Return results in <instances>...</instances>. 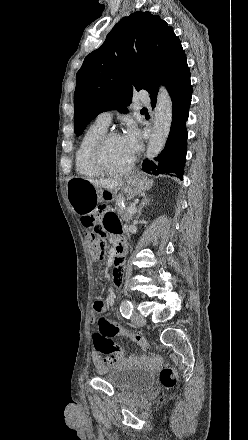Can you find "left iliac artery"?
<instances>
[{"instance_id":"44dca946","label":"left iliac artery","mask_w":248,"mask_h":440,"mask_svg":"<svg viewBox=\"0 0 248 440\" xmlns=\"http://www.w3.org/2000/svg\"><path fill=\"white\" fill-rule=\"evenodd\" d=\"M133 306L132 303L128 300H124L120 306V312L123 317L129 319L132 315Z\"/></svg>"}]
</instances>
